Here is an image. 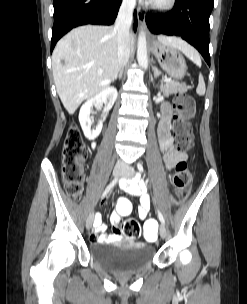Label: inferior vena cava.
<instances>
[{
    "label": "inferior vena cava",
    "mask_w": 247,
    "mask_h": 304,
    "mask_svg": "<svg viewBox=\"0 0 247 304\" xmlns=\"http://www.w3.org/2000/svg\"><path fill=\"white\" fill-rule=\"evenodd\" d=\"M134 7L135 0H123L115 22L114 30L117 32L120 68H123L127 64L130 56V26L133 21ZM118 165L122 166L123 164L119 162Z\"/></svg>",
    "instance_id": "obj_1"
}]
</instances>
